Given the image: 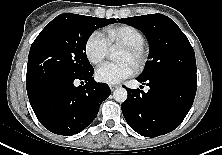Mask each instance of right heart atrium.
I'll return each mask as SVG.
<instances>
[{"label":"right heart atrium","instance_id":"obj_1","mask_svg":"<svg viewBox=\"0 0 222 155\" xmlns=\"http://www.w3.org/2000/svg\"><path fill=\"white\" fill-rule=\"evenodd\" d=\"M109 48L107 38L101 32L94 31L86 41L85 53L92 64L98 65L107 57Z\"/></svg>","mask_w":222,"mask_h":155}]
</instances>
